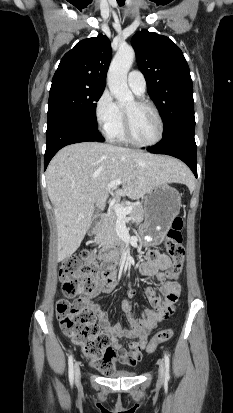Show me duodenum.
<instances>
[{
	"label": "duodenum",
	"mask_w": 233,
	"mask_h": 413,
	"mask_svg": "<svg viewBox=\"0 0 233 413\" xmlns=\"http://www.w3.org/2000/svg\"><path fill=\"white\" fill-rule=\"evenodd\" d=\"M97 225H94L91 232L96 231ZM126 248V243L122 239H116L110 243L102 252V257L106 261H111L117 257V255Z\"/></svg>",
	"instance_id": "410a0bca"
}]
</instances>
